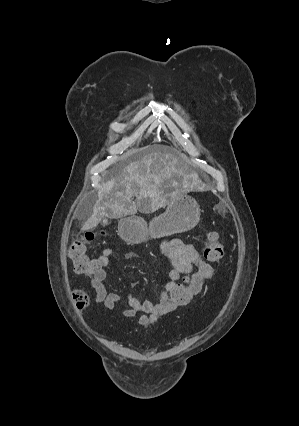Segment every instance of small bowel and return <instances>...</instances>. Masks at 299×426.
I'll list each match as a JSON object with an SVG mask.
<instances>
[{
    "mask_svg": "<svg viewBox=\"0 0 299 426\" xmlns=\"http://www.w3.org/2000/svg\"><path fill=\"white\" fill-rule=\"evenodd\" d=\"M162 255L169 260L172 269L167 273L164 280V289L161 291L156 303L148 300H140L129 293L122 297L118 293L110 292L104 285L106 279L105 268L109 264L110 256L113 254L112 248H106L98 257L97 261L100 270L91 276V286L95 291L96 300L103 303L107 310H112L116 304L126 303L127 308L123 311V316L132 318L137 313L143 315L138 320L142 326L155 323L160 316L171 313L178 308H169L165 303L166 293L179 282L182 276L191 280L192 300L197 296L204 283L213 276L212 266L203 259L197 248L192 244L184 243L180 239H171L161 244ZM138 283L134 282L136 286ZM191 300V301H192Z\"/></svg>",
    "mask_w": 299,
    "mask_h": 426,
    "instance_id": "obj_1",
    "label": "small bowel"
}]
</instances>
